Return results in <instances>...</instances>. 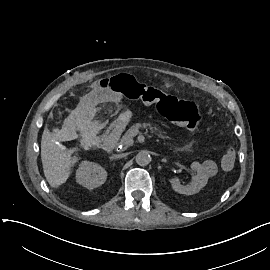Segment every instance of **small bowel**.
<instances>
[{
    "label": "small bowel",
    "mask_w": 270,
    "mask_h": 270,
    "mask_svg": "<svg viewBox=\"0 0 270 270\" xmlns=\"http://www.w3.org/2000/svg\"><path fill=\"white\" fill-rule=\"evenodd\" d=\"M98 91H99V93L101 94V96H102L105 100H107V101H110V102H118V101H120V99H121L119 95H117V94H115V93H112V92H110V91H108V90H101V89H99Z\"/></svg>",
    "instance_id": "obj_1"
}]
</instances>
